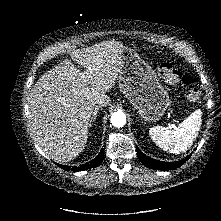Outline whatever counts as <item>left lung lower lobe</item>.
<instances>
[{
    "label": "left lung lower lobe",
    "instance_id": "left-lung-lower-lobe-1",
    "mask_svg": "<svg viewBox=\"0 0 221 221\" xmlns=\"http://www.w3.org/2000/svg\"><path fill=\"white\" fill-rule=\"evenodd\" d=\"M137 154L141 163L144 164L146 167L151 168V169H156V170H165V171L180 167L190 157V156H187L186 159L180 160L177 162H163V161L152 159L144 155L138 148H137Z\"/></svg>",
    "mask_w": 221,
    "mask_h": 221
}]
</instances>
